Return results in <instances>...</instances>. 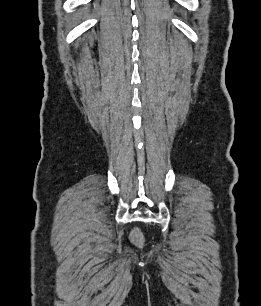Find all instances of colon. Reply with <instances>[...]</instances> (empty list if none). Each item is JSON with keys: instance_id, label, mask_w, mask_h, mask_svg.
<instances>
[{"instance_id": "5ec220e1", "label": "colon", "mask_w": 261, "mask_h": 306, "mask_svg": "<svg viewBox=\"0 0 261 306\" xmlns=\"http://www.w3.org/2000/svg\"><path fill=\"white\" fill-rule=\"evenodd\" d=\"M132 240L137 244L141 243L142 242V234L138 230H134L132 232Z\"/></svg>"}]
</instances>
